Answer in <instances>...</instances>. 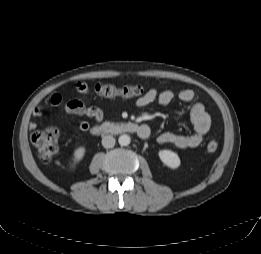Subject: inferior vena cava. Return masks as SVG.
Segmentation results:
<instances>
[{
  "label": "inferior vena cava",
  "instance_id": "inferior-vena-cava-1",
  "mask_svg": "<svg viewBox=\"0 0 261 254\" xmlns=\"http://www.w3.org/2000/svg\"><path fill=\"white\" fill-rule=\"evenodd\" d=\"M115 138L113 136L107 135L102 138V145L104 148H112L115 145Z\"/></svg>",
  "mask_w": 261,
  "mask_h": 254
}]
</instances>
